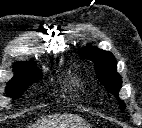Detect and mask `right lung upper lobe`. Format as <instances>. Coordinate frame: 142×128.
Masks as SVG:
<instances>
[{
    "label": "right lung upper lobe",
    "instance_id": "cb5924a9",
    "mask_svg": "<svg viewBox=\"0 0 142 128\" xmlns=\"http://www.w3.org/2000/svg\"><path fill=\"white\" fill-rule=\"evenodd\" d=\"M13 67L16 72V75L13 79H16L24 75L29 69L34 67V65L32 62H16Z\"/></svg>",
    "mask_w": 142,
    "mask_h": 128
}]
</instances>
